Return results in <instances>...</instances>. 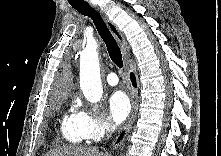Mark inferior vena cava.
Masks as SVG:
<instances>
[{"label":"inferior vena cava","mask_w":221,"mask_h":156,"mask_svg":"<svg viewBox=\"0 0 221 156\" xmlns=\"http://www.w3.org/2000/svg\"><path fill=\"white\" fill-rule=\"evenodd\" d=\"M112 131H113V126H112L111 123H109L108 128H107V135L110 136V134L112 133Z\"/></svg>","instance_id":"602c4592"}]
</instances>
